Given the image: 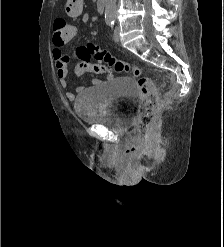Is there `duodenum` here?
Masks as SVG:
<instances>
[{
    "label": "duodenum",
    "instance_id": "410a0bca",
    "mask_svg": "<svg viewBox=\"0 0 224 247\" xmlns=\"http://www.w3.org/2000/svg\"><path fill=\"white\" fill-rule=\"evenodd\" d=\"M106 5H107V0H97V6H96L97 12L98 13L104 12L106 9Z\"/></svg>",
    "mask_w": 224,
    "mask_h": 247
}]
</instances>
